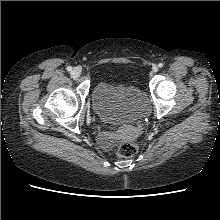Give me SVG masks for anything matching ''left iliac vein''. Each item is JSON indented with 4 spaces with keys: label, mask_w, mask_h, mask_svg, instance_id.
Returning <instances> with one entry per match:
<instances>
[{
    "label": "left iliac vein",
    "mask_w": 220,
    "mask_h": 220,
    "mask_svg": "<svg viewBox=\"0 0 220 220\" xmlns=\"http://www.w3.org/2000/svg\"><path fill=\"white\" fill-rule=\"evenodd\" d=\"M152 71H153V73H156L158 71V66L157 65H153Z\"/></svg>",
    "instance_id": "4c4485c4"
}]
</instances>
